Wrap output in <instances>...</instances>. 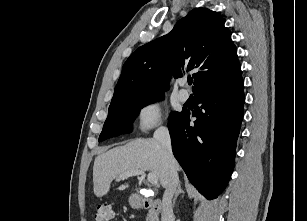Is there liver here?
I'll use <instances>...</instances> for the list:
<instances>
[{"label":"liver","instance_id":"liver-1","mask_svg":"<svg viewBox=\"0 0 307 221\" xmlns=\"http://www.w3.org/2000/svg\"><path fill=\"white\" fill-rule=\"evenodd\" d=\"M179 169V166H178ZM132 170H148L154 173L161 186L168 183V160L163 147L154 138H139L99 154L93 166V191L96 197L106 195L111 182L121 174ZM129 184L119 186L125 189Z\"/></svg>","mask_w":307,"mask_h":221}]
</instances>
